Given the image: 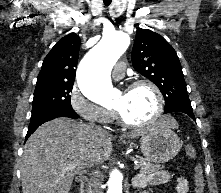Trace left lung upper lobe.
<instances>
[{"label": "left lung upper lobe", "mask_w": 221, "mask_h": 193, "mask_svg": "<svg viewBox=\"0 0 221 193\" xmlns=\"http://www.w3.org/2000/svg\"><path fill=\"white\" fill-rule=\"evenodd\" d=\"M134 69L155 83L165 99V110L190 105L176 51L159 34L138 29L131 54Z\"/></svg>", "instance_id": "left-lung-upper-lobe-1"}]
</instances>
